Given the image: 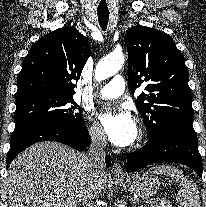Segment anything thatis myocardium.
<instances>
[{"label":"myocardium","instance_id":"1","mask_svg":"<svg viewBox=\"0 0 206 207\" xmlns=\"http://www.w3.org/2000/svg\"><path fill=\"white\" fill-rule=\"evenodd\" d=\"M146 137H147V132L145 130V128L139 124L137 126V134H136V137H135V141L132 145L133 148H138L140 147L144 141L146 140Z\"/></svg>","mask_w":206,"mask_h":207}]
</instances>
